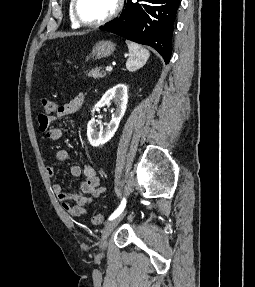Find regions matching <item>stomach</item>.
Masks as SVG:
<instances>
[{
  "label": "stomach",
  "mask_w": 255,
  "mask_h": 287,
  "mask_svg": "<svg viewBox=\"0 0 255 287\" xmlns=\"http://www.w3.org/2000/svg\"><path fill=\"white\" fill-rule=\"evenodd\" d=\"M115 50V44L113 42H105V40H102V42H97L95 46L92 48V54L90 56H87V60L89 58H107V56H111Z\"/></svg>",
  "instance_id": "1"
}]
</instances>
